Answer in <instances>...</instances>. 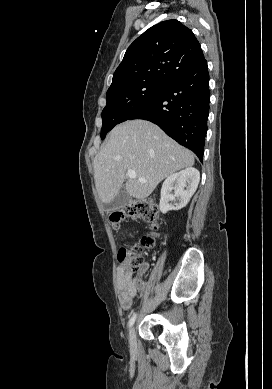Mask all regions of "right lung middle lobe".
Masks as SVG:
<instances>
[{"mask_svg": "<svg viewBox=\"0 0 272 389\" xmlns=\"http://www.w3.org/2000/svg\"><path fill=\"white\" fill-rule=\"evenodd\" d=\"M165 82L143 80L107 91L106 107L102 111L101 139L112 128L126 120L145 103L154 98Z\"/></svg>", "mask_w": 272, "mask_h": 389, "instance_id": "obj_1", "label": "right lung middle lobe"}]
</instances>
